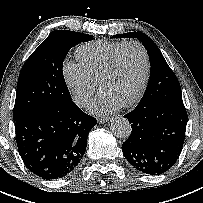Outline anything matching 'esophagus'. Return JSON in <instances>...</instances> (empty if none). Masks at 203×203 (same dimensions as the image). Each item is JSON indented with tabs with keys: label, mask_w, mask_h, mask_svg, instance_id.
Instances as JSON below:
<instances>
[{
	"label": "esophagus",
	"mask_w": 203,
	"mask_h": 203,
	"mask_svg": "<svg viewBox=\"0 0 203 203\" xmlns=\"http://www.w3.org/2000/svg\"><path fill=\"white\" fill-rule=\"evenodd\" d=\"M111 118L110 117H100L97 119V121L99 123H105V122H108Z\"/></svg>",
	"instance_id": "1"
}]
</instances>
